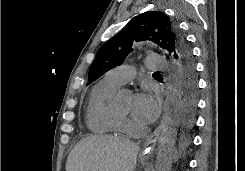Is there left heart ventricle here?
Segmentation results:
<instances>
[{
	"label": "left heart ventricle",
	"mask_w": 245,
	"mask_h": 171,
	"mask_svg": "<svg viewBox=\"0 0 245 171\" xmlns=\"http://www.w3.org/2000/svg\"><path fill=\"white\" fill-rule=\"evenodd\" d=\"M133 107V97L130 96L126 101L122 104L120 108V112L128 114L132 111Z\"/></svg>",
	"instance_id": "obj_1"
}]
</instances>
